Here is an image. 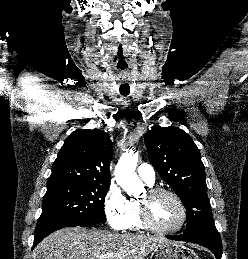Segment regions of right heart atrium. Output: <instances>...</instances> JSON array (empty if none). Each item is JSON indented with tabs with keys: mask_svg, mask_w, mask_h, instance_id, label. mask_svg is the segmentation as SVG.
I'll use <instances>...</instances> for the list:
<instances>
[{
	"mask_svg": "<svg viewBox=\"0 0 248 259\" xmlns=\"http://www.w3.org/2000/svg\"><path fill=\"white\" fill-rule=\"evenodd\" d=\"M104 211L111 228L115 230L126 229L130 214V200L115 184H112L106 193Z\"/></svg>",
	"mask_w": 248,
	"mask_h": 259,
	"instance_id": "obj_1",
	"label": "right heart atrium"
}]
</instances>
